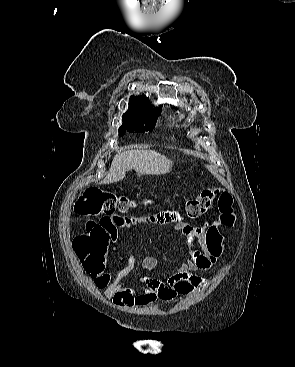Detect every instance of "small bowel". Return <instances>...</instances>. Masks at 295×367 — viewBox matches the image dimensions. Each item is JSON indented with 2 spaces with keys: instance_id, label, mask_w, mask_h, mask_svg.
<instances>
[{
  "instance_id": "small-bowel-1",
  "label": "small bowel",
  "mask_w": 295,
  "mask_h": 367,
  "mask_svg": "<svg viewBox=\"0 0 295 367\" xmlns=\"http://www.w3.org/2000/svg\"><path fill=\"white\" fill-rule=\"evenodd\" d=\"M182 209L161 208L160 212L141 218H125L113 216L101 218L99 224L107 235V241L114 243L117 240L120 229H126L131 225L148 223L151 225L169 226L175 224V230L183 234L189 246L187 259L177 268L167 280L163 281L151 276L157 268V260L147 256L141 261L143 271L140 277L142 287L132 288L122 284V279L129 275L136 265L134 255H129L125 266L115 276L108 272H102L93 276V282L98 289L104 291L107 300L112 301L118 308L148 306L160 299L165 302H174L181 296L193 293L197 288L205 285L206 280L197 277L196 271H209L219 260L222 252L221 245L218 250H213L208 243V231L206 226L196 227L184 222L180 216ZM175 214V216H174Z\"/></svg>"
}]
</instances>
